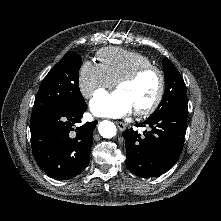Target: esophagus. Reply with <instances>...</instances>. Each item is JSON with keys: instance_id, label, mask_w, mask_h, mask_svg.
<instances>
[{"instance_id": "34e87169", "label": "esophagus", "mask_w": 221, "mask_h": 221, "mask_svg": "<svg viewBox=\"0 0 221 221\" xmlns=\"http://www.w3.org/2000/svg\"><path fill=\"white\" fill-rule=\"evenodd\" d=\"M115 124L117 125V127L120 131H124L126 129L125 124L122 122L116 121Z\"/></svg>"}]
</instances>
